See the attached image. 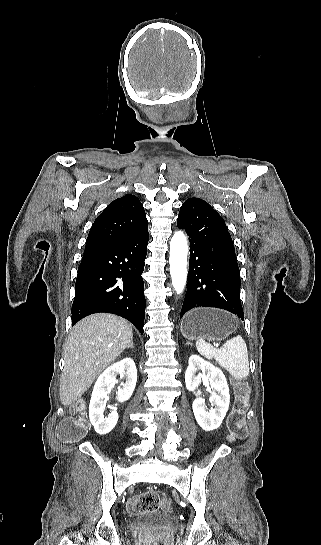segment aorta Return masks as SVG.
<instances>
[{
	"label": "aorta",
	"instance_id": "762f6f07",
	"mask_svg": "<svg viewBox=\"0 0 321 545\" xmlns=\"http://www.w3.org/2000/svg\"><path fill=\"white\" fill-rule=\"evenodd\" d=\"M187 253L185 234L182 231L175 232L170 241L169 264L172 285L177 294L183 292L187 280Z\"/></svg>",
	"mask_w": 321,
	"mask_h": 545
}]
</instances>
